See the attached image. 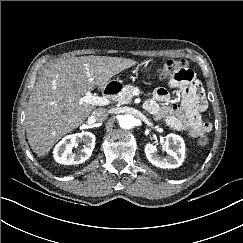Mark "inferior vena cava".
I'll return each instance as SVG.
<instances>
[{"mask_svg":"<svg viewBox=\"0 0 243 243\" xmlns=\"http://www.w3.org/2000/svg\"><path fill=\"white\" fill-rule=\"evenodd\" d=\"M97 122L105 121L108 117V111L105 108H97L91 115Z\"/></svg>","mask_w":243,"mask_h":243,"instance_id":"1","label":"inferior vena cava"}]
</instances>
